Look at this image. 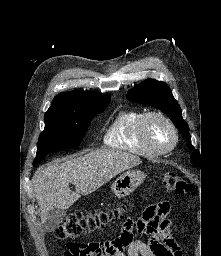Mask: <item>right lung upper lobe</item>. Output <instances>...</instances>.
<instances>
[{
	"instance_id": "cb5924a9",
	"label": "right lung upper lobe",
	"mask_w": 221,
	"mask_h": 256,
	"mask_svg": "<svg viewBox=\"0 0 221 256\" xmlns=\"http://www.w3.org/2000/svg\"><path fill=\"white\" fill-rule=\"evenodd\" d=\"M98 98H110V96L81 90L61 93L55 96L47 113L74 112L80 105L92 102Z\"/></svg>"
}]
</instances>
